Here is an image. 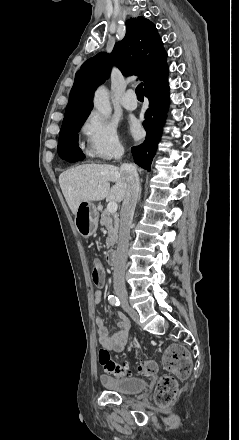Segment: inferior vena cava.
<instances>
[{
  "instance_id": "1",
  "label": "inferior vena cava",
  "mask_w": 239,
  "mask_h": 440,
  "mask_svg": "<svg viewBox=\"0 0 239 440\" xmlns=\"http://www.w3.org/2000/svg\"><path fill=\"white\" fill-rule=\"evenodd\" d=\"M123 154L124 150H117V160H120ZM120 172H123L126 194L120 214L119 238L114 262L113 288L114 292L119 296L118 298H120V307H129L127 298L124 297L126 293L121 292H126L124 280L125 264L128 252L130 226L132 224L139 192V176L136 168L131 166V164H122V166H120Z\"/></svg>"
}]
</instances>
